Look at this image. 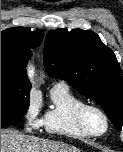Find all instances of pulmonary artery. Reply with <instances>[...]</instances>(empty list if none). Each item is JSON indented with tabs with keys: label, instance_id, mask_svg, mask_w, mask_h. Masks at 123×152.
<instances>
[{
	"label": "pulmonary artery",
	"instance_id": "obj_1",
	"mask_svg": "<svg viewBox=\"0 0 123 152\" xmlns=\"http://www.w3.org/2000/svg\"><path fill=\"white\" fill-rule=\"evenodd\" d=\"M55 85H64V83L63 82H57V83H55Z\"/></svg>",
	"mask_w": 123,
	"mask_h": 152
}]
</instances>
